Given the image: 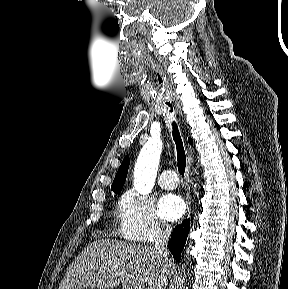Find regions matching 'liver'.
Wrapping results in <instances>:
<instances>
[{
	"instance_id": "6515ba94",
	"label": "liver",
	"mask_w": 288,
	"mask_h": 289,
	"mask_svg": "<svg viewBox=\"0 0 288 289\" xmlns=\"http://www.w3.org/2000/svg\"><path fill=\"white\" fill-rule=\"evenodd\" d=\"M171 261L151 247L96 240L72 261L59 289H165Z\"/></svg>"
}]
</instances>
